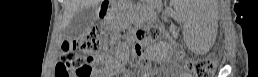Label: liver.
<instances>
[{"instance_id": "obj_1", "label": "liver", "mask_w": 258, "mask_h": 77, "mask_svg": "<svg viewBox=\"0 0 258 77\" xmlns=\"http://www.w3.org/2000/svg\"><path fill=\"white\" fill-rule=\"evenodd\" d=\"M102 0H64L63 25L66 27L79 9L97 6Z\"/></svg>"}]
</instances>
